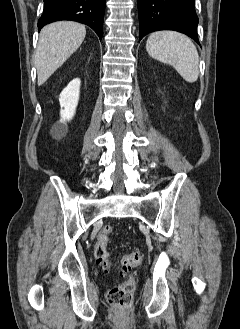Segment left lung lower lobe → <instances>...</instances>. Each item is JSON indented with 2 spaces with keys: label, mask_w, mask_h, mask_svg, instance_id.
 Here are the masks:
<instances>
[{
  "label": "left lung lower lobe",
  "mask_w": 240,
  "mask_h": 329,
  "mask_svg": "<svg viewBox=\"0 0 240 329\" xmlns=\"http://www.w3.org/2000/svg\"><path fill=\"white\" fill-rule=\"evenodd\" d=\"M139 41L157 30L186 34L199 44L195 0H138Z\"/></svg>",
  "instance_id": "obj_1"
}]
</instances>
